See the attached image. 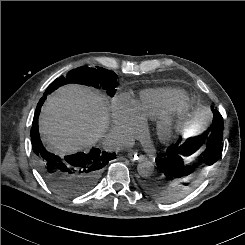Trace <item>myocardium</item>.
<instances>
[{"label": "myocardium", "instance_id": "f54148a6", "mask_svg": "<svg viewBox=\"0 0 245 245\" xmlns=\"http://www.w3.org/2000/svg\"><path fill=\"white\" fill-rule=\"evenodd\" d=\"M175 121L172 118H165L160 120L156 125V134L159 139H169L174 131Z\"/></svg>", "mask_w": 245, "mask_h": 245}]
</instances>
